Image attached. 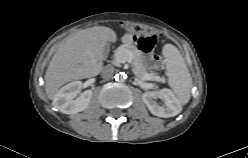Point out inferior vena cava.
I'll return each instance as SVG.
<instances>
[{
  "instance_id": "inferior-vena-cava-1",
  "label": "inferior vena cava",
  "mask_w": 248,
  "mask_h": 158,
  "mask_svg": "<svg viewBox=\"0 0 248 158\" xmlns=\"http://www.w3.org/2000/svg\"><path fill=\"white\" fill-rule=\"evenodd\" d=\"M113 74H114V67L111 65L106 66L102 71V77L105 79L112 78Z\"/></svg>"
}]
</instances>
